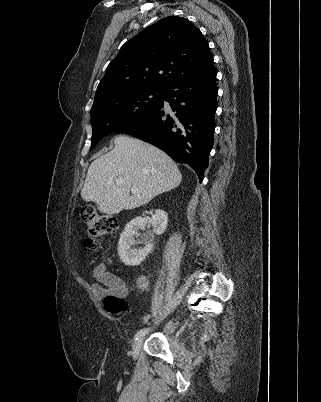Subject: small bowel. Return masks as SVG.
I'll list each match as a JSON object with an SVG mask.
<instances>
[{
  "instance_id": "1",
  "label": "small bowel",
  "mask_w": 321,
  "mask_h": 402,
  "mask_svg": "<svg viewBox=\"0 0 321 402\" xmlns=\"http://www.w3.org/2000/svg\"><path fill=\"white\" fill-rule=\"evenodd\" d=\"M93 274L97 283L93 284L92 290L97 296L125 297L127 295L128 288L126 283L115 274L109 272L104 265L96 266ZM137 284L141 289H145L147 286L146 278L139 277Z\"/></svg>"
}]
</instances>
